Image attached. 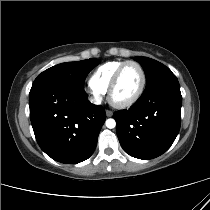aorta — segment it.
<instances>
[{
    "label": "aorta",
    "instance_id": "1",
    "mask_svg": "<svg viewBox=\"0 0 210 210\" xmlns=\"http://www.w3.org/2000/svg\"><path fill=\"white\" fill-rule=\"evenodd\" d=\"M106 126L109 128V129H112L116 126V122L114 119H107L106 120Z\"/></svg>",
    "mask_w": 210,
    "mask_h": 210
}]
</instances>
